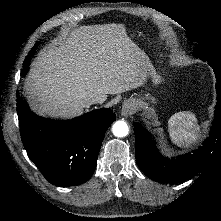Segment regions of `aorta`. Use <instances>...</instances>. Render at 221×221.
I'll return each mask as SVG.
<instances>
[{"label": "aorta", "mask_w": 221, "mask_h": 221, "mask_svg": "<svg viewBox=\"0 0 221 221\" xmlns=\"http://www.w3.org/2000/svg\"><path fill=\"white\" fill-rule=\"evenodd\" d=\"M112 132L116 137H125L129 133V127L125 121L120 120L114 123Z\"/></svg>", "instance_id": "762f6f07"}]
</instances>
